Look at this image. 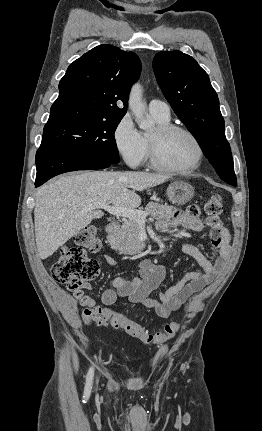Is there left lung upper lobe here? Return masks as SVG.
<instances>
[{
	"label": "left lung upper lobe",
	"mask_w": 262,
	"mask_h": 431,
	"mask_svg": "<svg viewBox=\"0 0 262 431\" xmlns=\"http://www.w3.org/2000/svg\"><path fill=\"white\" fill-rule=\"evenodd\" d=\"M153 68L165 98L196 138L219 177L236 186L224 119L207 73L194 58L181 51L157 53Z\"/></svg>",
	"instance_id": "5c2ea615"
}]
</instances>
